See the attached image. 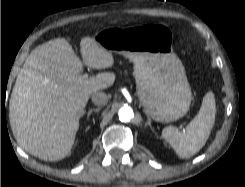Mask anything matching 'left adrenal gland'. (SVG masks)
<instances>
[{"label": "left adrenal gland", "instance_id": "1", "mask_svg": "<svg viewBox=\"0 0 245 187\" xmlns=\"http://www.w3.org/2000/svg\"><path fill=\"white\" fill-rule=\"evenodd\" d=\"M145 125H146V126H149V127L153 130L152 125H151V120H150V118H148V120H147V122H146Z\"/></svg>", "mask_w": 245, "mask_h": 187}]
</instances>
